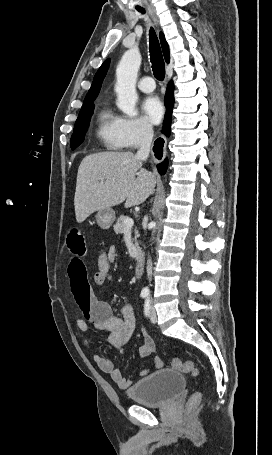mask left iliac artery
<instances>
[{
	"label": "left iliac artery",
	"instance_id": "obj_1",
	"mask_svg": "<svg viewBox=\"0 0 272 455\" xmlns=\"http://www.w3.org/2000/svg\"><path fill=\"white\" fill-rule=\"evenodd\" d=\"M149 309H150V300L146 299L145 305H144V313L146 316L149 314Z\"/></svg>",
	"mask_w": 272,
	"mask_h": 455
}]
</instances>
